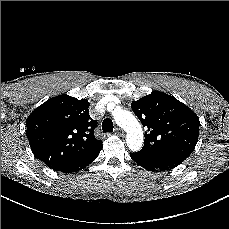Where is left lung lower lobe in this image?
Masks as SVG:
<instances>
[{
	"label": "left lung lower lobe",
	"instance_id": "1",
	"mask_svg": "<svg viewBox=\"0 0 229 229\" xmlns=\"http://www.w3.org/2000/svg\"><path fill=\"white\" fill-rule=\"evenodd\" d=\"M130 156L138 165L152 172L170 170L184 161L180 159L149 158L142 155H138L137 153H130Z\"/></svg>",
	"mask_w": 229,
	"mask_h": 229
}]
</instances>
